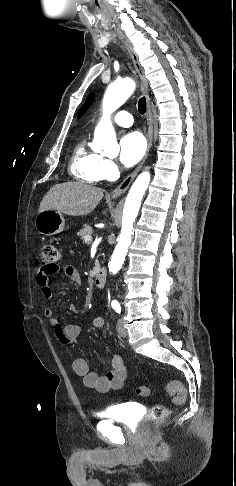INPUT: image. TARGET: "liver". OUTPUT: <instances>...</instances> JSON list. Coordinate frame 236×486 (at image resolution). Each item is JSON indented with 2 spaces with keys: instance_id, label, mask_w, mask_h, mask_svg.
Here are the masks:
<instances>
[{
  "instance_id": "6515ba94",
  "label": "liver",
  "mask_w": 236,
  "mask_h": 486,
  "mask_svg": "<svg viewBox=\"0 0 236 486\" xmlns=\"http://www.w3.org/2000/svg\"><path fill=\"white\" fill-rule=\"evenodd\" d=\"M103 198V190L81 182L56 184L40 203L39 212L56 210L70 216L91 213Z\"/></svg>"
}]
</instances>
